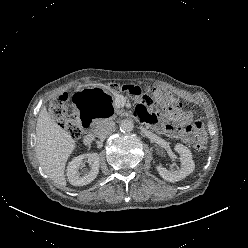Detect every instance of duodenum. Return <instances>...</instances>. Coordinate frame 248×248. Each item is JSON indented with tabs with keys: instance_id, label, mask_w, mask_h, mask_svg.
<instances>
[{
	"instance_id": "duodenum-1",
	"label": "duodenum",
	"mask_w": 248,
	"mask_h": 248,
	"mask_svg": "<svg viewBox=\"0 0 248 248\" xmlns=\"http://www.w3.org/2000/svg\"><path fill=\"white\" fill-rule=\"evenodd\" d=\"M92 118H94V117H92V116L82 117L83 127L87 130L88 133H90V131H91Z\"/></svg>"
}]
</instances>
